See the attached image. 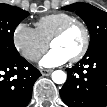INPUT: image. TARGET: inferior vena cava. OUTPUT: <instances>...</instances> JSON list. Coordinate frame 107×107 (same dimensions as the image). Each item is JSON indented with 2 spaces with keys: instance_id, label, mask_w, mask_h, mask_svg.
<instances>
[{
  "instance_id": "inferior-vena-cava-1",
  "label": "inferior vena cava",
  "mask_w": 107,
  "mask_h": 107,
  "mask_svg": "<svg viewBox=\"0 0 107 107\" xmlns=\"http://www.w3.org/2000/svg\"><path fill=\"white\" fill-rule=\"evenodd\" d=\"M39 58H40V56H39V55H36V56H34L33 59H34L35 61H37V60H39Z\"/></svg>"
}]
</instances>
